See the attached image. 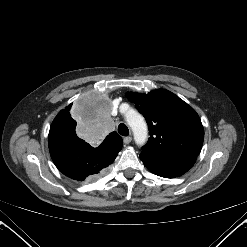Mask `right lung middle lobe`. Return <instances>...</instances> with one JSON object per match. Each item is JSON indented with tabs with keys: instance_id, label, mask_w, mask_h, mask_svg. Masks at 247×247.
<instances>
[{
	"instance_id": "1",
	"label": "right lung middle lobe",
	"mask_w": 247,
	"mask_h": 247,
	"mask_svg": "<svg viewBox=\"0 0 247 247\" xmlns=\"http://www.w3.org/2000/svg\"><path fill=\"white\" fill-rule=\"evenodd\" d=\"M70 109H71V107H70ZM76 124H77L76 121L71 117V114L69 112L67 117H65L59 121L58 127L68 129L71 131H75Z\"/></svg>"
}]
</instances>
